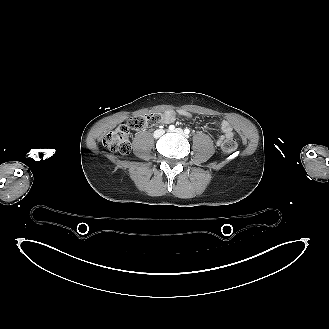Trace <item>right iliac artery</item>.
I'll list each match as a JSON object with an SVG mask.
<instances>
[{"mask_svg":"<svg viewBox=\"0 0 329 329\" xmlns=\"http://www.w3.org/2000/svg\"><path fill=\"white\" fill-rule=\"evenodd\" d=\"M174 129H175V126H174V125H170V126H169V130L172 131V130H174Z\"/></svg>","mask_w":329,"mask_h":329,"instance_id":"82829eb1","label":"right iliac artery"}]
</instances>
